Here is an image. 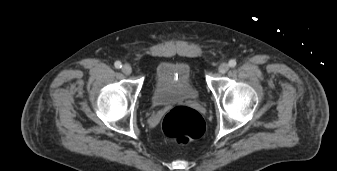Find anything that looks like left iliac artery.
Segmentation results:
<instances>
[{
  "label": "left iliac artery",
  "mask_w": 337,
  "mask_h": 171,
  "mask_svg": "<svg viewBox=\"0 0 337 171\" xmlns=\"http://www.w3.org/2000/svg\"><path fill=\"white\" fill-rule=\"evenodd\" d=\"M236 64H237V62H236L235 59H231V60L229 61V66H230V67H235Z\"/></svg>",
  "instance_id": "obj_1"
}]
</instances>
